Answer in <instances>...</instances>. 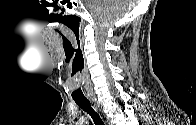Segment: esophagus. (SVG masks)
<instances>
[{
    "instance_id": "esophagus-1",
    "label": "esophagus",
    "mask_w": 196,
    "mask_h": 125,
    "mask_svg": "<svg viewBox=\"0 0 196 125\" xmlns=\"http://www.w3.org/2000/svg\"><path fill=\"white\" fill-rule=\"evenodd\" d=\"M91 102H92V103H94V105H95L96 107H98V106H99V105H98V102H97V100H96V99H93V98H92V99H91Z\"/></svg>"
}]
</instances>
